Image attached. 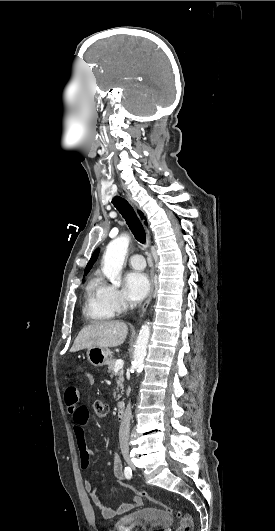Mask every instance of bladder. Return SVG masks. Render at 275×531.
<instances>
[{
    "instance_id": "1",
    "label": "bladder",
    "mask_w": 275,
    "mask_h": 531,
    "mask_svg": "<svg viewBox=\"0 0 275 531\" xmlns=\"http://www.w3.org/2000/svg\"><path fill=\"white\" fill-rule=\"evenodd\" d=\"M171 515L165 510L146 506L120 516L108 531H169Z\"/></svg>"
}]
</instances>
